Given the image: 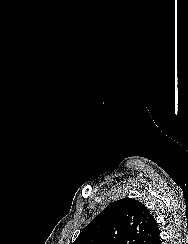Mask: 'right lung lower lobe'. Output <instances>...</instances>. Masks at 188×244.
Instances as JSON below:
<instances>
[{
	"label": "right lung lower lobe",
	"instance_id": "98d812e1",
	"mask_svg": "<svg viewBox=\"0 0 188 244\" xmlns=\"http://www.w3.org/2000/svg\"><path fill=\"white\" fill-rule=\"evenodd\" d=\"M160 232H158L156 235L153 236V238L151 239V241L149 242V244H160L161 240H160Z\"/></svg>",
	"mask_w": 188,
	"mask_h": 244
}]
</instances>
